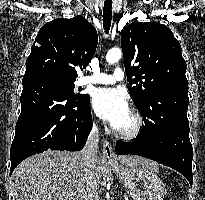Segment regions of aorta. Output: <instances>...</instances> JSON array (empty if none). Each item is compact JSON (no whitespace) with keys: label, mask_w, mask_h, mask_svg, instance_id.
Returning a JSON list of instances; mask_svg holds the SVG:
<instances>
[{"label":"aorta","mask_w":205,"mask_h":200,"mask_svg":"<svg viewBox=\"0 0 205 200\" xmlns=\"http://www.w3.org/2000/svg\"><path fill=\"white\" fill-rule=\"evenodd\" d=\"M121 56H122V51L119 48L115 47L110 49L107 52L106 61L110 64H113L119 61Z\"/></svg>","instance_id":"762f6f07"}]
</instances>
